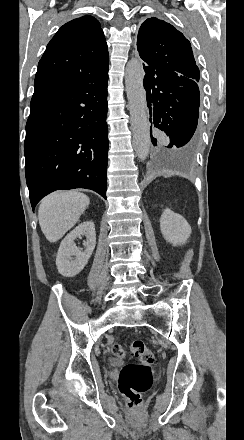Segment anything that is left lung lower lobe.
Segmentation results:
<instances>
[{
  "label": "left lung lower lobe",
  "instance_id": "1",
  "mask_svg": "<svg viewBox=\"0 0 244 440\" xmlns=\"http://www.w3.org/2000/svg\"><path fill=\"white\" fill-rule=\"evenodd\" d=\"M144 70V88L152 123V152L163 154L191 150L199 117L198 81L152 66L144 67ZM152 126L169 136L168 145L157 146V140L152 137Z\"/></svg>",
  "mask_w": 244,
  "mask_h": 440
}]
</instances>
